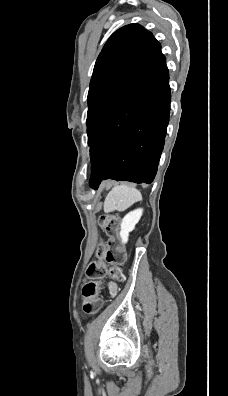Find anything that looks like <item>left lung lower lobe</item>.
<instances>
[{
    "instance_id": "left-lung-lower-lobe-1",
    "label": "left lung lower lobe",
    "mask_w": 228,
    "mask_h": 396,
    "mask_svg": "<svg viewBox=\"0 0 228 396\" xmlns=\"http://www.w3.org/2000/svg\"><path fill=\"white\" fill-rule=\"evenodd\" d=\"M169 74L158 43L138 79L112 108L90 146L91 178L150 184L164 147L170 113Z\"/></svg>"
}]
</instances>
